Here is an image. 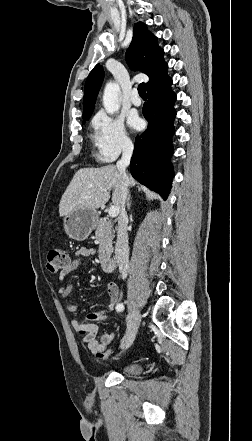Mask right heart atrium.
I'll return each mask as SVG.
<instances>
[{"label":"right heart atrium","mask_w":252,"mask_h":441,"mask_svg":"<svg viewBox=\"0 0 252 441\" xmlns=\"http://www.w3.org/2000/svg\"><path fill=\"white\" fill-rule=\"evenodd\" d=\"M93 129L96 156L101 162H112L119 156L129 155L132 152L133 143L123 118L101 111L93 119Z\"/></svg>","instance_id":"d8ad5b80"}]
</instances>
